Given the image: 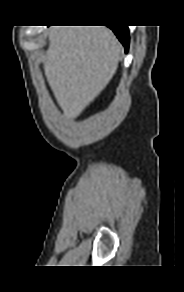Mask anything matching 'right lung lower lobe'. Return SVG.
Here are the masks:
<instances>
[{"mask_svg":"<svg viewBox=\"0 0 184 292\" xmlns=\"http://www.w3.org/2000/svg\"><path fill=\"white\" fill-rule=\"evenodd\" d=\"M113 32L116 34L117 38L120 40V42L125 47V51H128L129 47V32L127 26H115L110 27Z\"/></svg>","mask_w":184,"mask_h":292,"instance_id":"98d812e1","label":"right lung lower lobe"}]
</instances>
